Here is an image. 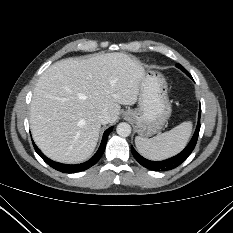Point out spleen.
I'll list each match as a JSON object with an SVG mask.
<instances>
[{"label": "spleen", "instance_id": "1", "mask_svg": "<svg viewBox=\"0 0 233 233\" xmlns=\"http://www.w3.org/2000/svg\"><path fill=\"white\" fill-rule=\"evenodd\" d=\"M192 132V123L186 121L153 138L137 136L138 151L150 160H163L178 154L186 146Z\"/></svg>", "mask_w": 233, "mask_h": 233}]
</instances>
